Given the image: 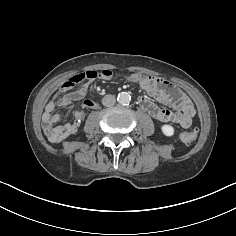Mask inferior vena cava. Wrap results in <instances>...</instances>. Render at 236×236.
<instances>
[{
    "label": "inferior vena cava",
    "mask_w": 236,
    "mask_h": 236,
    "mask_svg": "<svg viewBox=\"0 0 236 236\" xmlns=\"http://www.w3.org/2000/svg\"><path fill=\"white\" fill-rule=\"evenodd\" d=\"M116 102V99L113 95H105L102 99V104L106 107H112Z\"/></svg>",
    "instance_id": "inferior-vena-cava-1"
}]
</instances>
